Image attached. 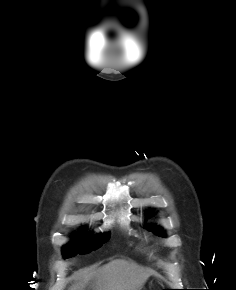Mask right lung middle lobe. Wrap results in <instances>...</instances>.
I'll return each mask as SVG.
<instances>
[{
	"instance_id": "right-lung-middle-lobe-1",
	"label": "right lung middle lobe",
	"mask_w": 236,
	"mask_h": 290,
	"mask_svg": "<svg viewBox=\"0 0 236 290\" xmlns=\"http://www.w3.org/2000/svg\"><path fill=\"white\" fill-rule=\"evenodd\" d=\"M110 238V233L100 234L96 237L95 241H87V240H77L73 243L64 246L63 255L65 258H69L75 256L77 253L79 254H87L98 247H100L103 243L107 242Z\"/></svg>"
}]
</instances>
